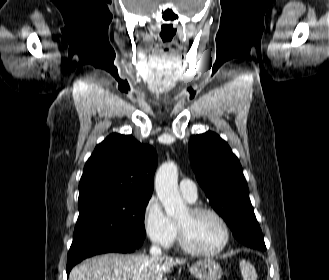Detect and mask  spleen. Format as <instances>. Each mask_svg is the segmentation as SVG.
I'll list each match as a JSON object with an SVG mask.
<instances>
[{
  "label": "spleen",
  "mask_w": 329,
  "mask_h": 280,
  "mask_svg": "<svg viewBox=\"0 0 329 280\" xmlns=\"http://www.w3.org/2000/svg\"><path fill=\"white\" fill-rule=\"evenodd\" d=\"M239 266L243 280H257L256 270L250 262L242 259L239 263Z\"/></svg>",
  "instance_id": "1"
}]
</instances>
